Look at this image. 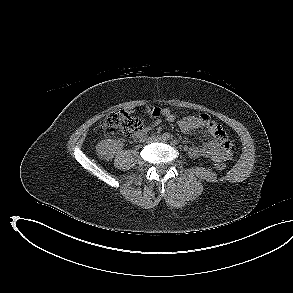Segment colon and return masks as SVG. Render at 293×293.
<instances>
[{"mask_svg": "<svg viewBox=\"0 0 293 293\" xmlns=\"http://www.w3.org/2000/svg\"><path fill=\"white\" fill-rule=\"evenodd\" d=\"M143 126L142 120L132 114L120 110L111 112L106 116L100 124V129L110 134H122L124 136H132L139 131ZM226 164L216 162L215 168L223 171L226 169Z\"/></svg>", "mask_w": 293, "mask_h": 293, "instance_id": "1", "label": "colon"}]
</instances>
